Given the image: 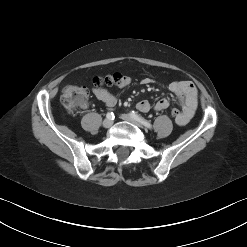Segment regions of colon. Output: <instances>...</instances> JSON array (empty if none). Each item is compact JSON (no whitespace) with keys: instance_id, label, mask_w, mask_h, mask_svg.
Masks as SVG:
<instances>
[{"instance_id":"obj_1","label":"colon","mask_w":247,"mask_h":247,"mask_svg":"<svg viewBox=\"0 0 247 247\" xmlns=\"http://www.w3.org/2000/svg\"><path fill=\"white\" fill-rule=\"evenodd\" d=\"M123 76L115 73L104 77H96L93 82L97 87L120 85ZM61 102L65 110L69 113H75L87 103V91L84 87L67 86L62 93ZM181 111L173 108L170 111L172 118L176 119L180 116Z\"/></svg>"}]
</instances>
